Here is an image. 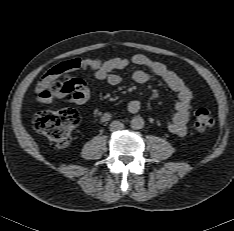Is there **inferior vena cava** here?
<instances>
[{
  "label": "inferior vena cava",
  "mask_w": 234,
  "mask_h": 231,
  "mask_svg": "<svg viewBox=\"0 0 234 231\" xmlns=\"http://www.w3.org/2000/svg\"><path fill=\"white\" fill-rule=\"evenodd\" d=\"M124 128V124L120 121H112L110 123V131H119Z\"/></svg>",
  "instance_id": "1"
}]
</instances>
